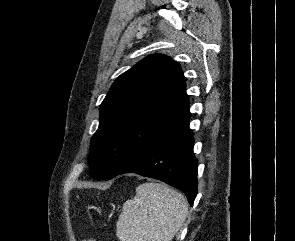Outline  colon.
I'll list each match as a JSON object with an SVG mask.
<instances>
[{
	"label": "colon",
	"instance_id": "colon-1",
	"mask_svg": "<svg viewBox=\"0 0 295 241\" xmlns=\"http://www.w3.org/2000/svg\"><path fill=\"white\" fill-rule=\"evenodd\" d=\"M82 241H95V240H92V239H88V240H82Z\"/></svg>",
	"mask_w": 295,
	"mask_h": 241
}]
</instances>
